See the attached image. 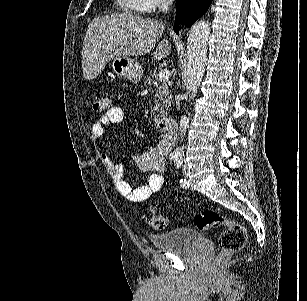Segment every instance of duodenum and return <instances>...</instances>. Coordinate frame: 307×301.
<instances>
[{"label": "duodenum", "instance_id": "duodenum-1", "mask_svg": "<svg viewBox=\"0 0 307 301\" xmlns=\"http://www.w3.org/2000/svg\"><path fill=\"white\" fill-rule=\"evenodd\" d=\"M157 128L166 133H173L177 129V121L173 117H162L157 120Z\"/></svg>", "mask_w": 307, "mask_h": 301}]
</instances>
